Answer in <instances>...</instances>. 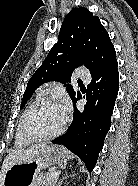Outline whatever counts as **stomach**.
Masks as SVG:
<instances>
[{
    "label": "stomach",
    "mask_w": 138,
    "mask_h": 186,
    "mask_svg": "<svg viewBox=\"0 0 138 186\" xmlns=\"http://www.w3.org/2000/svg\"><path fill=\"white\" fill-rule=\"evenodd\" d=\"M69 152L61 146H48L33 160L14 164L6 171L2 186H33L34 179L47 167L66 163Z\"/></svg>",
    "instance_id": "obj_1"
}]
</instances>
